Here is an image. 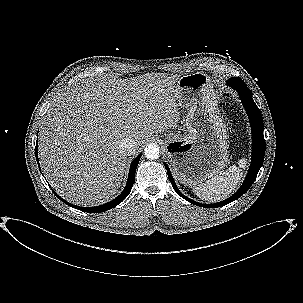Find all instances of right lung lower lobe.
<instances>
[{
  "mask_svg": "<svg viewBox=\"0 0 303 303\" xmlns=\"http://www.w3.org/2000/svg\"><path fill=\"white\" fill-rule=\"evenodd\" d=\"M140 157H141V154H139L132 161V163L130 165L127 184H126L123 192L118 197L113 199L112 201H110L106 204L100 205V206H95V207H78V206L72 205L71 203H68V202H66V203L69 204L70 206H73V207L77 208L78 210L80 209L82 211H86V212H90V213H101V212H104V211H107V210H110V209L116 207L118 204H120L129 195V193L132 189V186H133L134 181H135V172H136V168L138 166V163L140 161ZM36 160H37V163L39 165L38 154H37V145H36ZM57 197H59V196H57ZM60 199L63 200L62 198H60Z\"/></svg>",
  "mask_w": 303,
  "mask_h": 303,
  "instance_id": "98d812e1",
  "label": "right lung lower lobe"
}]
</instances>
